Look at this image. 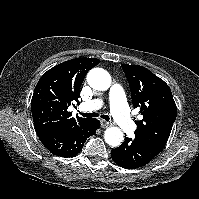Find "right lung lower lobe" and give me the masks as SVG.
I'll return each instance as SVG.
<instances>
[{
    "label": "right lung lower lobe",
    "mask_w": 199,
    "mask_h": 199,
    "mask_svg": "<svg viewBox=\"0 0 199 199\" xmlns=\"http://www.w3.org/2000/svg\"><path fill=\"white\" fill-rule=\"evenodd\" d=\"M100 127V122L91 118L84 124L71 128H48L37 131L42 144L54 155L73 157L77 155L91 135Z\"/></svg>",
    "instance_id": "right-lung-lower-lobe-1"
}]
</instances>
